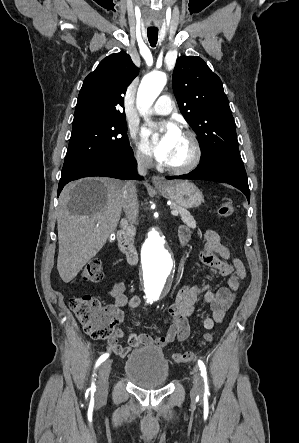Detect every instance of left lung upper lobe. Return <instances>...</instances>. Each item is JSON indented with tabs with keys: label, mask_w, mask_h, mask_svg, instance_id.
Here are the masks:
<instances>
[{
	"label": "left lung upper lobe",
	"mask_w": 299,
	"mask_h": 443,
	"mask_svg": "<svg viewBox=\"0 0 299 443\" xmlns=\"http://www.w3.org/2000/svg\"><path fill=\"white\" fill-rule=\"evenodd\" d=\"M173 90L181 113L201 142L200 162L216 157L242 160L222 82L205 61L196 56L179 57Z\"/></svg>",
	"instance_id": "1"
}]
</instances>
